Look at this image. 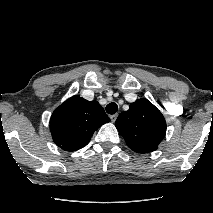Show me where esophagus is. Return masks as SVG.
Instances as JSON below:
<instances>
[{
  "label": "esophagus",
  "mask_w": 213,
  "mask_h": 213,
  "mask_svg": "<svg viewBox=\"0 0 213 213\" xmlns=\"http://www.w3.org/2000/svg\"><path fill=\"white\" fill-rule=\"evenodd\" d=\"M110 119L112 122H115L117 119V114L110 115Z\"/></svg>",
  "instance_id": "obj_1"
}]
</instances>
